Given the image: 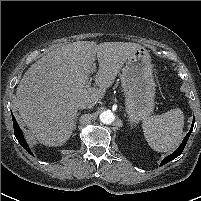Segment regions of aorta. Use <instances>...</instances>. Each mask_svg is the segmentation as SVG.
<instances>
[{"instance_id":"obj_1","label":"aorta","mask_w":201,"mask_h":201,"mask_svg":"<svg viewBox=\"0 0 201 201\" xmlns=\"http://www.w3.org/2000/svg\"><path fill=\"white\" fill-rule=\"evenodd\" d=\"M99 118H100V121L102 123H104V124H111L114 121L115 116H114V114L111 111L107 110V111L102 112L100 114Z\"/></svg>"}]
</instances>
